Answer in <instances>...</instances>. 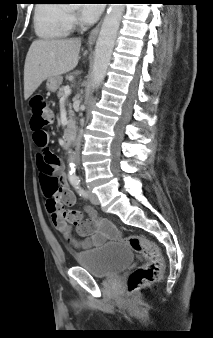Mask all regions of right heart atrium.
<instances>
[{
  "label": "right heart atrium",
  "mask_w": 213,
  "mask_h": 338,
  "mask_svg": "<svg viewBox=\"0 0 213 338\" xmlns=\"http://www.w3.org/2000/svg\"><path fill=\"white\" fill-rule=\"evenodd\" d=\"M66 22L69 26L77 25L78 24V18L76 14L72 12L66 13Z\"/></svg>",
  "instance_id": "right-heart-atrium-1"
}]
</instances>
